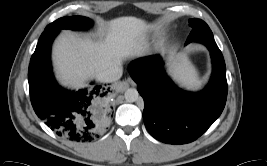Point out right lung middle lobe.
<instances>
[{
  "instance_id": "obj_1",
  "label": "right lung middle lobe",
  "mask_w": 267,
  "mask_h": 166,
  "mask_svg": "<svg viewBox=\"0 0 267 166\" xmlns=\"http://www.w3.org/2000/svg\"><path fill=\"white\" fill-rule=\"evenodd\" d=\"M92 26V21L83 16H71V17H62L53 23L49 24L47 29H71V30H82L87 29Z\"/></svg>"
}]
</instances>
